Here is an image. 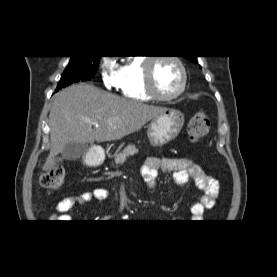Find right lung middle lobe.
<instances>
[{"label":"right lung middle lobe","instance_id":"obj_1","mask_svg":"<svg viewBox=\"0 0 277 277\" xmlns=\"http://www.w3.org/2000/svg\"><path fill=\"white\" fill-rule=\"evenodd\" d=\"M100 57L71 56L69 64L58 83L57 90L71 83L90 79L97 71Z\"/></svg>","mask_w":277,"mask_h":277}]
</instances>
